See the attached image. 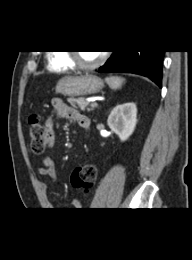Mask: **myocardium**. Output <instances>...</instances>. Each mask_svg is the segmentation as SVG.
Returning a JSON list of instances; mask_svg holds the SVG:
<instances>
[{"instance_id": "f54148a6", "label": "myocardium", "mask_w": 192, "mask_h": 260, "mask_svg": "<svg viewBox=\"0 0 192 260\" xmlns=\"http://www.w3.org/2000/svg\"><path fill=\"white\" fill-rule=\"evenodd\" d=\"M67 56L68 59L70 60V62L74 65V67L80 69V70H84V71H89V70H94L98 67H100L106 60L107 58V53H103L101 54V56L99 57V59L93 63L90 64H85L83 63L78 55V52L76 51H68L67 52Z\"/></svg>"}]
</instances>
